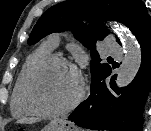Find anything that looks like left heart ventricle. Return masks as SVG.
Instances as JSON below:
<instances>
[{
    "label": "left heart ventricle",
    "mask_w": 151,
    "mask_h": 131,
    "mask_svg": "<svg viewBox=\"0 0 151 131\" xmlns=\"http://www.w3.org/2000/svg\"><path fill=\"white\" fill-rule=\"evenodd\" d=\"M78 80L65 65L53 64L37 71L30 82V100L42 110H55L74 96Z\"/></svg>",
    "instance_id": "obj_1"
}]
</instances>
